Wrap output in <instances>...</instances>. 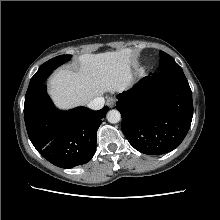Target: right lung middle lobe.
<instances>
[{
	"instance_id": "dd1d6c3e",
	"label": "right lung middle lobe",
	"mask_w": 220,
	"mask_h": 220,
	"mask_svg": "<svg viewBox=\"0 0 220 220\" xmlns=\"http://www.w3.org/2000/svg\"><path fill=\"white\" fill-rule=\"evenodd\" d=\"M70 58L71 55H60L42 64L36 72V74L31 78L26 95H29L32 92H34L39 86H41L44 83V81L53 72V70H55L63 63L69 61Z\"/></svg>"
}]
</instances>
